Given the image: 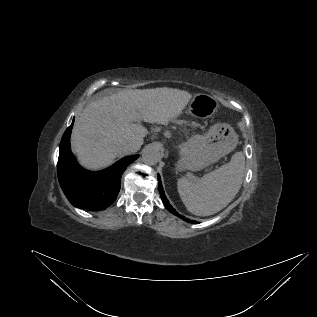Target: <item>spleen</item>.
Instances as JSON below:
<instances>
[{
  "mask_svg": "<svg viewBox=\"0 0 317 317\" xmlns=\"http://www.w3.org/2000/svg\"><path fill=\"white\" fill-rule=\"evenodd\" d=\"M244 171V154L236 152L229 163L201 179H178V193L192 214L213 215L225 208L236 196L243 181Z\"/></svg>",
  "mask_w": 317,
  "mask_h": 317,
  "instance_id": "3e777b00",
  "label": "spleen"
}]
</instances>
